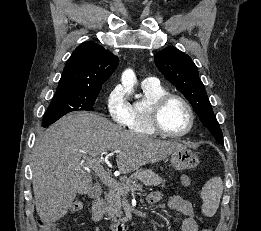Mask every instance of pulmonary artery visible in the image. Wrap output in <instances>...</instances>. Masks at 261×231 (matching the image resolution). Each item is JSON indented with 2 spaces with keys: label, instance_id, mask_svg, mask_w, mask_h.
<instances>
[{
  "label": "pulmonary artery",
  "instance_id": "e3ab8cb5",
  "mask_svg": "<svg viewBox=\"0 0 261 231\" xmlns=\"http://www.w3.org/2000/svg\"><path fill=\"white\" fill-rule=\"evenodd\" d=\"M156 84H157V79L155 77H147L142 82V85H144V86L156 85Z\"/></svg>",
  "mask_w": 261,
  "mask_h": 231
}]
</instances>
